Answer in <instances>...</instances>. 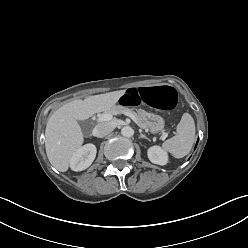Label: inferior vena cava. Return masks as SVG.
<instances>
[{
  "label": "inferior vena cava",
  "instance_id": "obj_1",
  "mask_svg": "<svg viewBox=\"0 0 248 248\" xmlns=\"http://www.w3.org/2000/svg\"><path fill=\"white\" fill-rule=\"evenodd\" d=\"M114 129L111 123H99L94 128V135L96 137L102 138L112 132Z\"/></svg>",
  "mask_w": 248,
  "mask_h": 248
}]
</instances>
